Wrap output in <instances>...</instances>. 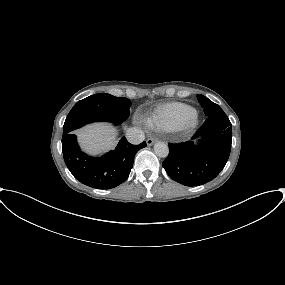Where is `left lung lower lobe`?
<instances>
[{
  "mask_svg": "<svg viewBox=\"0 0 285 285\" xmlns=\"http://www.w3.org/2000/svg\"><path fill=\"white\" fill-rule=\"evenodd\" d=\"M192 141L169 143V155L162 166L170 178L186 186H199L213 180L224 168L231 150L232 127L225 113L207 116Z\"/></svg>",
  "mask_w": 285,
  "mask_h": 285,
  "instance_id": "0a47b994",
  "label": "left lung lower lobe"
}]
</instances>
